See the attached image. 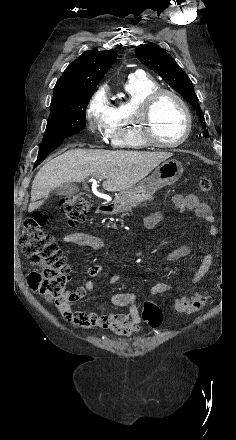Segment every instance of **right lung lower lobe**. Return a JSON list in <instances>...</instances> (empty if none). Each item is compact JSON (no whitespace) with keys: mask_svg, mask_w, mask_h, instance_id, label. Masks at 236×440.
<instances>
[{"mask_svg":"<svg viewBox=\"0 0 236 440\" xmlns=\"http://www.w3.org/2000/svg\"><path fill=\"white\" fill-rule=\"evenodd\" d=\"M61 143L62 142H55L51 144L40 145L38 159L34 164V168L37 167L45 159V157L48 154H50L53 150H55Z\"/></svg>","mask_w":236,"mask_h":440,"instance_id":"right-lung-lower-lobe-1","label":"right lung lower lobe"}]
</instances>
